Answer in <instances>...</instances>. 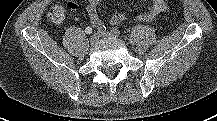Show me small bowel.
<instances>
[{
    "label": "small bowel",
    "mask_w": 217,
    "mask_h": 121,
    "mask_svg": "<svg viewBox=\"0 0 217 121\" xmlns=\"http://www.w3.org/2000/svg\"><path fill=\"white\" fill-rule=\"evenodd\" d=\"M101 1L102 0H88V3L86 5V11L89 15L91 24L95 28H101L103 26V22L99 17L97 11V7ZM69 7L76 8L77 3L75 1H70ZM166 10L167 5L165 3V0H153L151 9L146 13L138 14L135 19L138 21L148 22L153 20L157 15L165 12ZM124 20L125 14L123 12H115L110 19V23L116 25Z\"/></svg>",
    "instance_id": "obj_1"
}]
</instances>
